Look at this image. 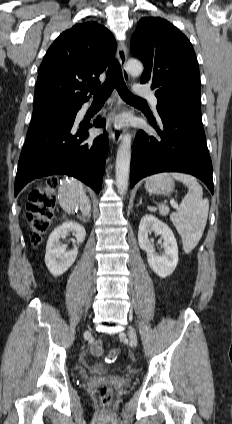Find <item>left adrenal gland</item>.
<instances>
[{
    "mask_svg": "<svg viewBox=\"0 0 232 424\" xmlns=\"http://www.w3.org/2000/svg\"><path fill=\"white\" fill-rule=\"evenodd\" d=\"M140 205H142V197L140 198V201H139V203L137 204V207H138V206H140Z\"/></svg>",
    "mask_w": 232,
    "mask_h": 424,
    "instance_id": "left-adrenal-gland-1",
    "label": "left adrenal gland"
}]
</instances>
